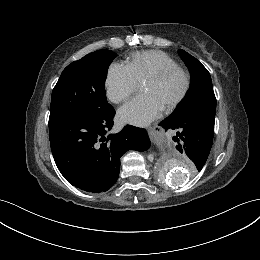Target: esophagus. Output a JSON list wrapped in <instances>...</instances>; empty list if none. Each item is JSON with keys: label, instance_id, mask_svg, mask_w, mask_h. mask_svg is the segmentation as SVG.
Masks as SVG:
<instances>
[{"label": "esophagus", "instance_id": "1", "mask_svg": "<svg viewBox=\"0 0 260 260\" xmlns=\"http://www.w3.org/2000/svg\"><path fill=\"white\" fill-rule=\"evenodd\" d=\"M159 132H160V127L157 124L153 125L152 127H149L148 129V133L151 138L155 137Z\"/></svg>", "mask_w": 260, "mask_h": 260}]
</instances>
